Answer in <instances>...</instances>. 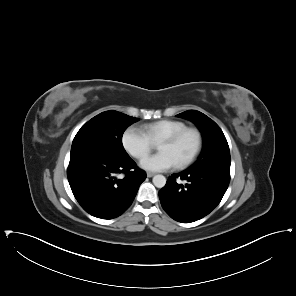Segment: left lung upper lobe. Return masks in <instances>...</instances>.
Instances as JSON below:
<instances>
[{
	"mask_svg": "<svg viewBox=\"0 0 296 296\" xmlns=\"http://www.w3.org/2000/svg\"><path fill=\"white\" fill-rule=\"evenodd\" d=\"M196 124L203 136V149L193 169H230V151L220 127L205 114L189 110L177 115Z\"/></svg>",
	"mask_w": 296,
	"mask_h": 296,
	"instance_id": "obj_1",
	"label": "left lung upper lobe"
}]
</instances>
